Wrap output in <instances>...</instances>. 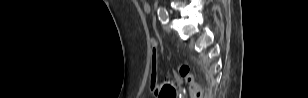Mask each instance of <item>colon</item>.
Segmentation results:
<instances>
[{
  "label": "colon",
  "mask_w": 308,
  "mask_h": 98,
  "mask_svg": "<svg viewBox=\"0 0 308 98\" xmlns=\"http://www.w3.org/2000/svg\"><path fill=\"white\" fill-rule=\"evenodd\" d=\"M158 51L153 46L151 59V82L150 88L158 98H174L176 96V88L173 82L166 80L162 83L158 80ZM179 74L189 86L190 95L192 98H203V90L196 82L191 68L182 64L179 66Z\"/></svg>",
  "instance_id": "colon-1"
}]
</instances>
